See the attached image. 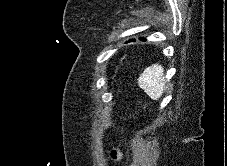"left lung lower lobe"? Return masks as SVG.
I'll list each match as a JSON object with an SVG mask.
<instances>
[{"label":"left lung lower lobe","instance_id":"obj_1","mask_svg":"<svg viewBox=\"0 0 227 166\" xmlns=\"http://www.w3.org/2000/svg\"><path fill=\"white\" fill-rule=\"evenodd\" d=\"M141 40H145L144 38H140ZM132 41H135V40H132Z\"/></svg>","mask_w":227,"mask_h":166}]
</instances>
